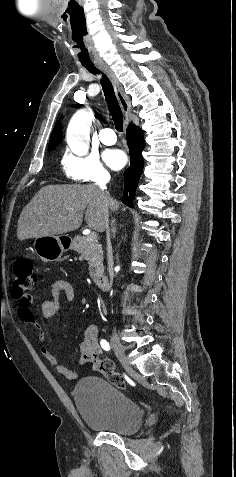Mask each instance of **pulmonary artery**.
Here are the masks:
<instances>
[{"label": "pulmonary artery", "instance_id": "e3ab8cb5", "mask_svg": "<svg viewBox=\"0 0 236 477\" xmlns=\"http://www.w3.org/2000/svg\"><path fill=\"white\" fill-rule=\"evenodd\" d=\"M99 138L105 145L115 144L117 138L115 132L111 128H103L99 131Z\"/></svg>", "mask_w": 236, "mask_h": 477}]
</instances>
